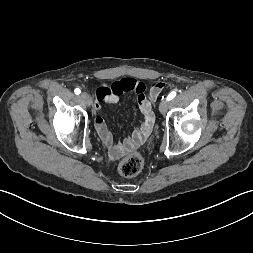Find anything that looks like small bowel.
<instances>
[{
  "instance_id": "1",
  "label": "small bowel",
  "mask_w": 253,
  "mask_h": 253,
  "mask_svg": "<svg viewBox=\"0 0 253 253\" xmlns=\"http://www.w3.org/2000/svg\"><path fill=\"white\" fill-rule=\"evenodd\" d=\"M165 84L156 82L150 89V96L145 94V86L143 83L136 81L133 78H123L116 81L112 86L103 85L96 90V101L94 110H101V102L117 103L120 100L121 94L129 91H134L138 104L139 111L142 115L139 125L135 128L132 134L121 141H116L108 129L104 118L97 114L95 117V127L102 142L107 146L109 155L112 159H118L133 149L142 145L149 137L155 117L152 111L151 100L155 99L163 90Z\"/></svg>"
}]
</instances>
